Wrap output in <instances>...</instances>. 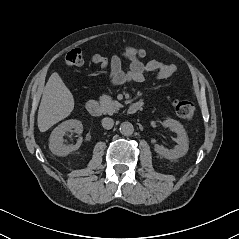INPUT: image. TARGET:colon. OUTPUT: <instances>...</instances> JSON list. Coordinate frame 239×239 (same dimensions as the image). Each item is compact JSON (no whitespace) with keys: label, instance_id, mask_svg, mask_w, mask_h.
Returning a JSON list of instances; mask_svg holds the SVG:
<instances>
[{"label":"colon","instance_id":"obj_1","mask_svg":"<svg viewBox=\"0 0 239 239\" xmlns=\"http://www.w3.org/2000/svg\"><path fill=\"white\" fill-rule=\"evenodd\" d=\"M136 57H145L146 51L138 48H131L128 51ZM84 51L80 48L69 51L65 57V64L69 68L79 67L84 63ZM172 106L176 114L184 120H191L195 115V105L191 101L175 99L172 102Z\"/></svg>","mask_w":239,"mask_h":239}]
</instances>
